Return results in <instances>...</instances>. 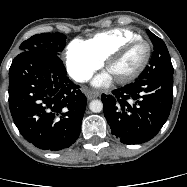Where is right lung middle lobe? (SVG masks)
<instances>
[{
  "label": "right lung middle lobe",
  "mask_w": 187,
  "mask_h": 187,
  "mask_svg": "<svg viewBox=\"0 0 187 187\" xmlns=\"http://www.w3.org/2000/svg\"><path fill=\"white\" fill-rule=\"evenodd\" d=\"M66 44V36L62 33L36 34L20 46V52L34 51L45 55H60Z\"/></svg>",
  "instance_id": "dd1d6c3e"
}]
</instances>
